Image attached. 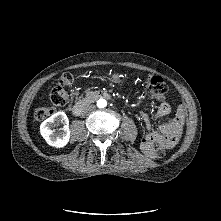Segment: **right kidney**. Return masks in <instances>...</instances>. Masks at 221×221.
<instances>
[{"mask_svg": "<svg viewBox=\"0 0 221 221\" xmlns=\"http://www.w3.org/2000/svg\"><path fill=\"white\" fill-rule=\"evenodd\" d=\"M63 125L58 130L52 129L53 126ZM40 134L46 142L53 147L62 148L66 146L70 139L69 120L64 112H57L42 122Z\"/></svg>", "mask_w": 221, "mask_h": 221, "instance_id": "ca27d5eb", "label": "right kidney"}]
</instances>
